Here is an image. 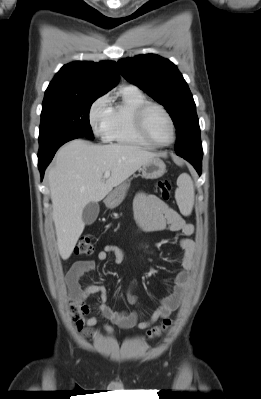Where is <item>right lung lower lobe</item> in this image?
<instances>
[{
    "mask_svg": "<svg viewBox=\"0 0 261 399\" xmlns=\"http://www.w3.org/2000/svg\"><path fill=\"white\" fill-rule=\"evenodd\" d=\"M80 137L84 136L75 132H62L51 137L47 141L40 143L38 153V167L42 178L44 176V171L46 167L51 162L59 147L70 140Z\"/></svg>",
    "mask_w": 261,
    "mask_h": 399,
    "instance_id": "98d812e1",
    "label": "right lung lower lobe"
}]
</instances>
